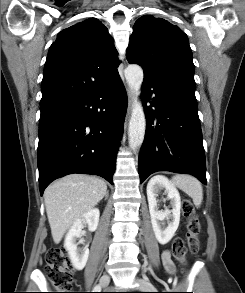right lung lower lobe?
Wrapping results in <instances>:
<instances>
[{
    "instance_id": "right-lung-lower-lobe-1",
    "label": "right lung lower lobe",
    "mask_w": 245,
    "mask_h": 293,
    "mask_svg": "<svg viewBox=\"0 0 245 293\" xmlns=\"http://www.w3.org/2000/svg\"><path fill=\"white\" fill-rule=\"evenodd\" d=\"M126 110L127 95L118 75L40 118L41 195L53 180L72 173L98 175L113 184Z\"/></svg>"
}]
</instances>
